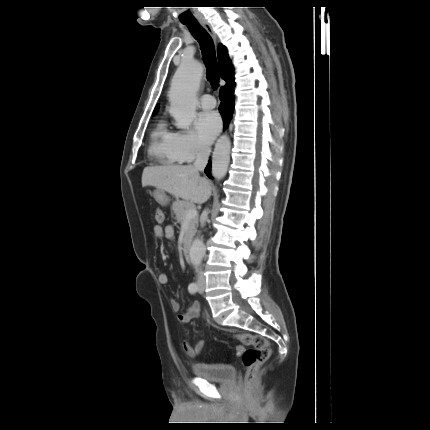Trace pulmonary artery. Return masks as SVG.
I'll return each mask as SVG.
<instances>
[{"mask_svg":"<svg viewBox=\"0 0 430 430\" xmlns=\"http://www.w3.org/2000/svg\"><path fill=\"white\" fill-rule=\"evenodd\" d=\"M200 106L203 109H213L216 106V100L210 94H205L200 98Z\"/></svg>","mask_w":430,"mask_h":430,"instance_id":"e3ab8cb5","label":"pulmonary artery"}]
</instances>
